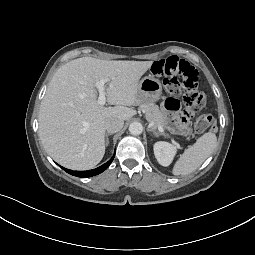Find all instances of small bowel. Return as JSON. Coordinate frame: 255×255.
<instances>
[{"label":"small bowel","mask_w":255,"mask_h":255,"mask_svg":"<svg viewBox=\"0 0 255 255\" xmlns=\"http://www.w3.org/2000/svg\"><path fill=\"white\" fill-rule=\"evenodd\" d=\"M163 109L167 120L171 124L173 131L187 134L189 131L188 120L189 117L179 114V103L176 99L168 98L163 102Z\"/></svg>","instance_id":"small-bowel-1"}]
</instances>
